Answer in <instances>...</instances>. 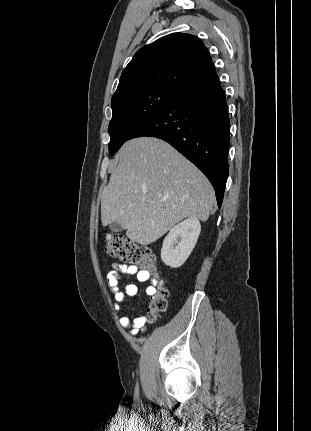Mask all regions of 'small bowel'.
<instances>
[{
    "label": "small bowel",
    "mask_w": 311,
    "mask_h": 431,
    "mask_svg": "<svg viewBox=\"0 0 311 431\" xmlns=\"http://www.w3.org/2000/svg\"><path fill=\"white\" fill-rule=\"evenodd\" d=\"M123 274L135 275L139 282L150 281L149 272L141 270L135 265L114 263L113 270L107 274V282L111 291L114 293V308L116 311H120L126 297H133L138 292L137 286L133 283L126 284L123 289L119 287V283ZM154 292L155 288L153 286L146 288V294L148 296H152ZM146 322L147 320L144 316H137L133 320H130L126 316H122L119 319L120 325L122 327L129 328L132 335H137L138 333L142 332Z\"/></svg>",
    "instance_id": "obj_1"
}]
</instances>
